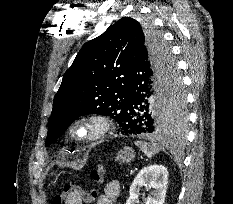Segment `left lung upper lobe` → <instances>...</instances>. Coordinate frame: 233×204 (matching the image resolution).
I'll return each mask as SVG.
<instances>
[{
    "label": "left lung upper lobe",
    "mask_w": 233,
    "mask_h": 204,
    "mask_svg": "<svg viewBox=\"0 0 233 204\" xmlns=\"http://www.w3.org/2000/svg\"><path fill=\"white\" fill-rule=\"evenodd\" d=\"M141 48L149 50L154 68L158 66L168 86L161 110L160 132L185 122L181 79L169 88L176 66L170 48L152 26L122 17L102 35L86 43L65 72L53 100L46 147L82 115L110 116L121 126V107L129 92L132 65Z\"/></svg>",
    "instance_id": "5c2ea615"
}]
</instances>
